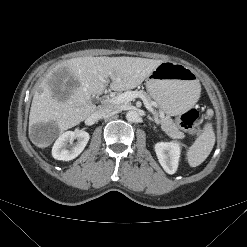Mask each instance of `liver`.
Here are the masks:
<instances>
[{
    "instance_id": "1",
    "label": "liver",
    "mask_w": 247,
    "mask_h": 247,
    "mask_svg": "<svg viewBox=\"0 0 247 247\" xmlns=\"http://www.w3.org/2000/svg\"><path fill=\"white\" fill-rule=\"evenodd\" d=\"M161 60L139 57H78L69 59L51 69L42 80L33 96L29 129L38 123L55 122L59 133H62L84 121L97 109L91 102L92 95L104 92L109 78L110 89L125 91L134 89L160 64ZM63 68L78 81L71 90L69 97L62 101L57 98L50 85L52 76ZM32 142L39 148H45L48 143Z\"/></svg>"
}]
</instances>
